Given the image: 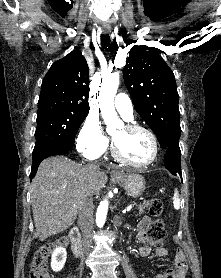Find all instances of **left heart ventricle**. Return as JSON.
I'll return each instance as SVG.
<instances>
[{"instance_id":"b2bd125f","label":"left heart ventricle","mask_w":221,"mask_h":278,"mask_svg":"<svg viewBox=\"0 0 221 278\" xmlns=\"http://www.w3.org/2000/svg\"><path fill=\"white\" fill-rule=\"evenodd\" d=\"M120 153L134 163H146L153 156L150 137L142 131H128L125 127L113 134Z\"/></svg>"}]
</instances>
